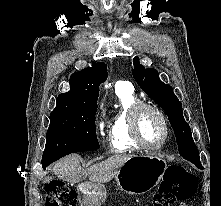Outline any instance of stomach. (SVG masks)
I'll return each instance as SVG.
<instances>
[{
	"label": "stomach",
	"mask_w": 221,
	"mask_h": 206,
	"mask_svg": "<svg viewBox=\"0 0 221 206\" xmlns=\"http://www.w3.org/2000/svg\"><path fill=\"white\" fill-rule=\"evenodd\" d=\"M166 168L157 156H132L117 171L115 183L126 193L144 194L161 182ZM77 193L80 206H101L107 196L105 186L92 181L79 183Z\"/></svg>",
	"instance_id": "obj_1"
}]
</instances>
